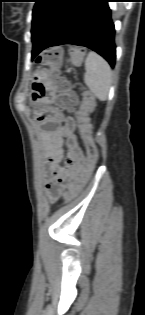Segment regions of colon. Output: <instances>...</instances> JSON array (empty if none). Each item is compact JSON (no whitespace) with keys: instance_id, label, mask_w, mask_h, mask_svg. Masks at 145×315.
Wrapping results in <instances>:
<instances>
[{"instance_id":"1","label":"colon","mask_w":145,"mask_h":315,"mask_svg":"<svg viewBox=\"0 0 145 315\" xmlns=\"http://www.w3.org/2000/svg\"><path fill=\"white\" fill-rule=\"evenodd\" d=\"M84 57V51L81 49H72L70 59L72 64H81ZM63 52L59 48L45 50L38 58L41 65L56 70L62 62ZM56 106L59 109L73 111L77 107L78 97L70 88L66 80L59 78L57 80ZM94 106V98L89 93H84L80 108L77 111L79 130L84 142L87 153V166L83 177L70 186L68 193L65 195L66 201L73 199L80 189L86 184L98 161V148L91 135V128L88 122V113Z\"/></svg>"}]
</instances>
